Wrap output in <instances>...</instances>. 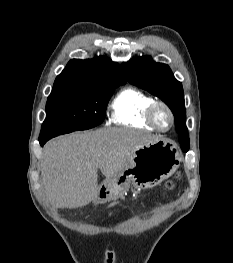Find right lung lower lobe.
<instances>
[{
  "mask_svg": "<svg viewBox=\"0 0 233 263\" xmlns=\"http://www.w3.org/2000/svg\"><path fill=\"white\" fill-rule=\"evenodd\" d=\"M47 141H48V139L39 140L41 146H43Z\"/></svg>",
  "mask_w": 233,
  "mask_h": 263,
  "instance_id": "1",
  "label": "right lung lower lobe"
}]
</instances>
